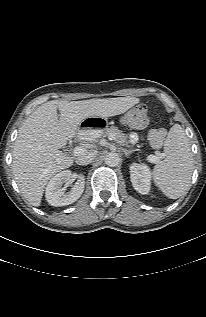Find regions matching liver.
I'll list each match as a JSON object with an SVG mask.
<instances>
[{"instance_id":"6515ba94","label":"liver","mask_w":206,"mask_h":317,"mask_svg":"<svg viewBox=\"0 0 206 317\" xmlns=\"http://www.w3.org/2000/svg\"><path fill=\"white\" fill-rule=\"evenodd\" d=\"M139 101L130 96L71 102L52 100L38 107L20 127L13 149V174L26 200L32 206H40L48 181L73 165V158L59 149L75 137L83 120L122 114Z\"/></svg>"}]
</instances>
